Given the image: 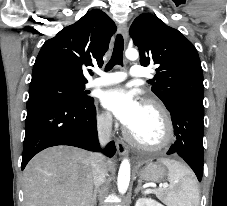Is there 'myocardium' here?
<instances>
[{
	"mask_svg": "<svg viewBox=\"0 0 227 206\" xmlns=\"http://www.w3.org/2000/svg\"><path fill=\"white\" fill-rule=\"evenodd\" d=\"M143 106L153 109L160 117L163 127L162 137L157 142L145 143L140 141L131 130H128L127 137L129 141L144 150L155 151L167 147L172 142L174 137L173 122L168 110L161 102L152 98L145 99Z\"/></svg>",
	"mask_w": 227,
	"mask_h": 206,
	"instance_id": "myocardium-1",
	"label": "myocardium"
}]
</instances>
